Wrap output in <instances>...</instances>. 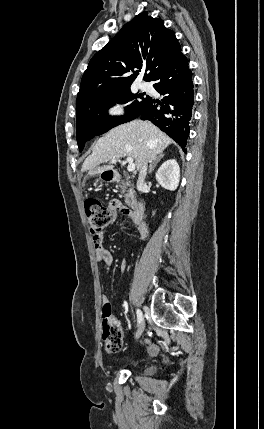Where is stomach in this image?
Here are the masks:
<instances>
[{
	"label": "stomach",
	"instance_id": "1",
	"mask_svg": "<svg viewBox=\"0 0 264 429\" xmlns=\"http://www.w3.org/2000/svg\"><path fill=\"white\" fill-rule=\"evenodd\" d=\"M116 172L114 170H104L100 173L99 178L94 182L96 186L100 180H106L107 182H113L116 180Z\"/></svg>",
	"mask_w": 264,
	"mask_h": 429
}]
</instances>
